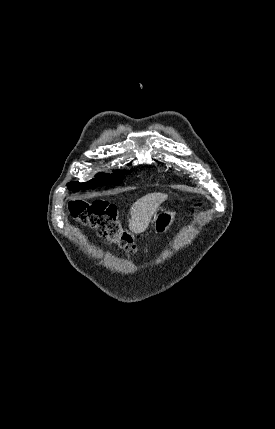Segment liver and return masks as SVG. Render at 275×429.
<instances>
[{
    "label": "liver",
    "mask_w": 275,
    "mask_h": 429,
    "mask_svg": "<svg viewBox=\"0 0 275 429\" xmlns=\"http://www.w3.org/2000/svg\"><path fill=\"white\" fill-rule=\"evenodd\" d=\"M168 198L164 193H150L138 199L130 209L129 229L139 234L144 232L157 208Z\"/></svg>",
    "instance_id": "liver-1"
}]
</instances>
